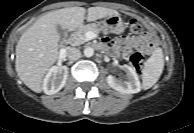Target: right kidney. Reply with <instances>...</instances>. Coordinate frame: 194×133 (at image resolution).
Returning <instances> with one entry per match:
<instances>
[{"label":"right kidney","instance_id":"ca27d5eb","mask_svg":"<svg viewBox=\"0 0 194 133\" xmlns=\"http://www.w3.org/2000/svg\"><path fill=\"white\" fill-rule=\"evenodd\" d=\"M68 68L66 66L52 67L43 81V91L52 95L59 92L66 84Z\"/></svg>","mask_w":194,"mask_h":133}]
</instances>
